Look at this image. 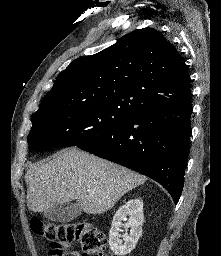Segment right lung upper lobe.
I'll return each mask as SVG.
<instances>
[{"label":"right lung upper lobe","mask_w":221,"mask_h":256,"mask_svg":"<svg viewBox=\"0 0 221 256\" xmlns=\"http://www.w3.org/2000/svg\"><path fill=\"white\" fill-rule=\"evenodd\" d=\"M191 97L186 68L162 33L143 28L101 52L72 61L32 116L81 104H109L138 114Z\"/></svg>","instance_id":"cb5924a9"}]
</instances>
